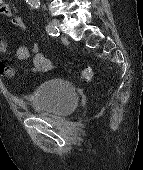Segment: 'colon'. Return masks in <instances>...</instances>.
Here are the masks:
<instances>
[{
  "label": "colon",
  "instance_id": "obj_1",
  "mask_svg": "<svg viewBox=\"0 0 143 170\" xmlns=\"http://www.w3.org/2000/svg\"><path fill=\"white\" fill-rule=\"evenodd\" d=\"M81 78L85 81H89L92 78V69L88 66L82 68Z\"/></svg>",
  "mask_w": 143,
  "mask_h": 170
}]
</instances>
